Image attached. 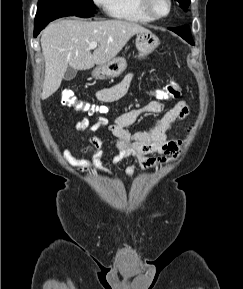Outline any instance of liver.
<instances>
[{"instance_id":"obj_1","label":"liver","mask_w":243,"mask_h":289,"mask_svg":"<svg viewBox=\"0 0 243 289\" xmlns=\"http://www.w3.org/2000/svg\"><path fill=\"white\" fill-rule=\"evenodd\" d=\"M145 31L137 23L117 19H61L49 24L40 40L45 59L41 98L47 99L58 90L68 67L88 70L105 64L115 58L133 35ZM91 42L98 43L93 53L89 48Z\"/></svg>"}]
</instances>
